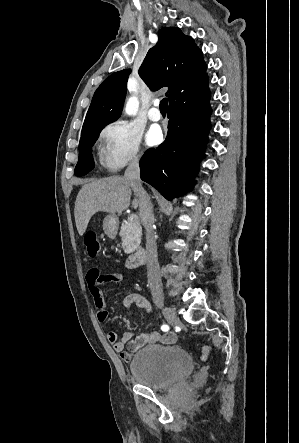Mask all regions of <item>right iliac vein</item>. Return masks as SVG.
Masks as SVG:
<instances>
[{
    "label": "right iliac vein",
    "instance_id": "right-iliac-vein-1",
    "mask_svg": "<svg viewBox=\"0 0 299 443\" xmlns=\"http://www.w3.org/2000/svg\"><path fill=\"white\" fill-rule=\"evenodd\" d=\"M158 308L161 309L165 319L172 325L180 324V320L176 314V312L170 307L166 306L163 302L157 303Z\"/></svg>",
    "mask_w": 299,
    "mask_h": 443
}]
</instances>
